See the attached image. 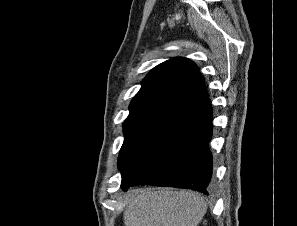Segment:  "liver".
<instances>
[{"label":"liver","instance_id":"1","mask_svg":"<svg viewBox=\"0 0 297 226\" xmlns=\"http://www.w3.org/2000/svg\"><path fill=\"white\" fill-rule=\"evenodd\" d=\"M207 211L191 191L135 190L124 211L125 226H197Z\"/></svg>","mask_w":297,"mask_h":226}]
</instances>
